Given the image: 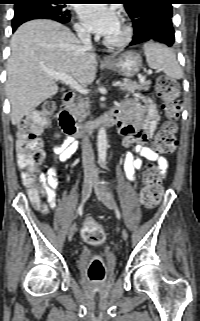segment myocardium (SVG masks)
Returning <instances> with one entry per match:
<instances>
[{"instance_id": "1", "label": "myocardium", "mask_w": 200, "mask_h": 321, "mask_svg": "<svg viewBox=\"0 0 200 321\" xmlns=\"http://www.w3.org/2000/svg\"><path fill=\"white\" fill-rule=\"evenodd\" d=\"M123 29V36L119 40H111L107 37L104 38L103 43L112 49L123 48L130 43L133 37V28L130 23L123 21L121 23Z\"/></svg>"}]
</instances>
